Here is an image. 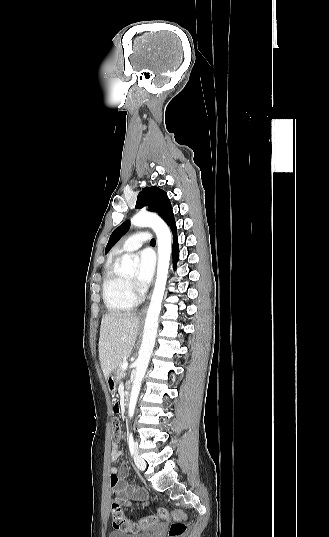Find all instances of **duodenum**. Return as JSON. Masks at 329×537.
Segmentation results:
<instances>
[{
	"instance_id": "410a0bca",
	"label": "duodenum",
	"mask_w": 329,
	"mask_h": 537,
	"mask_svg": "<svg viewBox=\"0 0 329 537\" xmlns=\"http://www.w3.org/2000/svg\"><path fill=\"white\" fill-rule=\"evenodd\" d=\"M128 399H129V391H127L125 394V400L127 401Z\"/></svg>"
}]
</instances>
